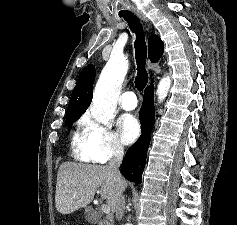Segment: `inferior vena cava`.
I'll list each match as a JSON object with an SVG mask.
<instances>
[{
	"label": "inferior vena cava",
	"mask_w": 237,
	"mask_h": 225,
	"mask_svg": "<svg viewBox=\"0 0 237 225\" xmlns=\"http://www.w3.org/2000/svg\"><path fill=\"white\" fill-rule=\"evenodd\" d=\"M113 149V156L110 158L108 169L111 170L112 175L114 176L116 182L120 187V191L118 193L117 205H116V218L120 221L123 217L124 210H125V198L122 195V185H123V178L119 171V167L121 165L123 155H124V148L119 143H114L112 146Z\"/></svg>",
	"instance_id": "602c4592"
}]
</instances>
